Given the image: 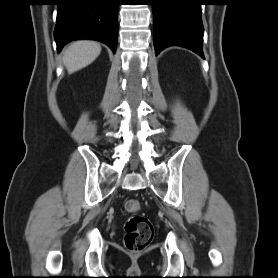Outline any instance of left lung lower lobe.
Here are the masks:
<instances>
[{
  "label": "left lung lower lobe",
  "instance_id": "0a47b994",
  "mask_svg": "<svg viewBox=\"0 0 278 278\" xmlns=\"http://www.w3.org/2000/svg\"><path fill=\"white\" fill-rule=\"evenodd\" d=\"M202 0H153L156 55L169 46H181L204 58Z\"/></svg>",
  "mask_w": 278,
  "mask_h": 278
}]
</instances>
